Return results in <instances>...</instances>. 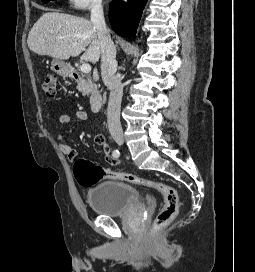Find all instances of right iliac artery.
Here are the masks:
<instances>
[{"instance_id":"1","label":"right iliac artery","mask_w":255,"mask_h":272,"mask_svg":"<svg viewBox=\"0 0 255 272\" xmlns=\"http://www.w3.org/2000/svg\"><path fill=\"white\" fill-rule=\"evenodd\" d=\"M112 156H113L114 158H118V157L120 156V152H119L118 150H114V151L112 152Z\"/></svg>"}]
</instances>
